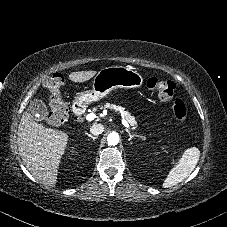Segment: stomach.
<instances>
[{
    "label": "stomach",
    "instance_id": "0dacf381",
    "mask_svg": "<svg viewBox=\"0 0 227 227\" xmlns=\"http://www.w3.org/2000/svg\"><path fill=\"white\" fill-rule=\"evenodd\" d=\"M144 79L134 68L110 66L101 69L94 77L92 90L76 95L74 103L86 105L100 100L117 88L134 89L142 86Z\"/></svg>",
    "mask_w": 227,
    "mask_h": 227
}]
</instances>
